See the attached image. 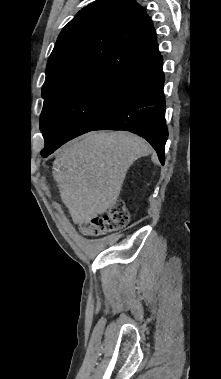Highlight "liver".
<instances>
[{"label": "liver", "instance_id": "1", "mask_svg": "<svg viewBox=\"0 0 221 379\" xmlns=\"http://www.w3.org/2000/svg\"><path fill=\"white\" fill-rule=\"evenodd\" d=\"M152 152L129 132H90L55 153L53 177L75 224L110 210L119 197L127 170Z\"/></svg>", "mask_w": 221, "mask_h": 379}]
</instances>
